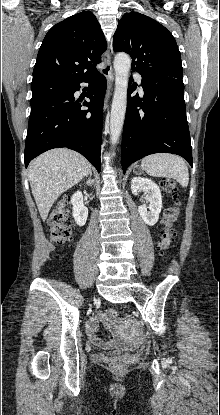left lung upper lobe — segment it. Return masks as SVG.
I'll return each instance as SVG.
<instances>
[{
	"label": "left lung upper lobe",
	"instance_id": "1",
	"mask_svg": "<svg viewBox=\"0 0 220 415\" xmlns=\"http://www.w3.org/2000/svg\"><path fill=\"white\" fill-rule=\"evenodd\" d=\"M114 51L132 58V70L140 74L183 77L181 55L172 34L154 19L138 12L123 15L113 40Z\"/></svg>",
	"mask_w": 220,
	"mask_h": 415
}]
</instances>
